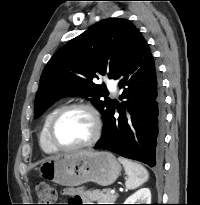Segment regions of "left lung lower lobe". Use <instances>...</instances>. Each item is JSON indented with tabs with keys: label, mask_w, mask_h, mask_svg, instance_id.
<instances>
[{
	"label": "left lung lower lobe",
	"mask_w": 200,
	"mask_h": 205,
	"mask_svg": "<svg viewBox=\"0 0 200 205\" xmlns=\"http://www.w3.org/2000/svg\"><path fill=\"white\" fill-rule=\"evenodd\" d=\"M114 79L119 80L123 102L121 106L113 102L94 149L159 166L163 157L164 98L151 51L139 32ZM116 111L118 118L114 117Z\"/></svg>",
	"instance_id": "1"
}]
</instances>
